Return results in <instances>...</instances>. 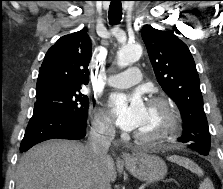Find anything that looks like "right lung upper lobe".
Returning a JSON list of instances; mask_svg holds the SVG:
<instances>
[{"instance_id": "obj_1", "label": "right lung upper lobe", "mask_w": 223, "mask_h": 189, "mask_svg": "<svg viewBox=\"0 0 223 189\" xmlns=\"http://www.w3.org/2000/svg\"><path fill=\"white\" fill-rule=\"evenodd\" d=\"M91 53V40L86 28L61 37L44 57L36 93L78 88L88 84Z\"/></svg>"}]
</instances>
